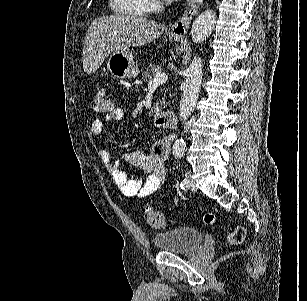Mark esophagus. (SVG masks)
Returning a JSON list of instances; mask_svg holds the SVG:
<instances>
[{
  "mask_svg": "<svg viewBox=\"0 0 307 301\" xmlns=\"http://www.w3.org/2000/svg\"><path fill=\"white\" fill-rule=\"evenodd\" d=\"M203 0H190L181 18L176 20L171 28V35L175 40H183L188 31L189 25L198 12Z\"/></svg>",
  "mask_w": 307,
  "mask_h": 301,
  "instance_id": "34e87169",
  "label": "esophagus"
}]
</instances>
